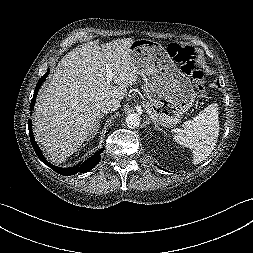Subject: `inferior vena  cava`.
I'll return each mask as SVG.
<instances>
[{"mask_svg": "<svg viewBox=\"0 0 253 253\" xmlns=\"http://www.w3.org/2000/svg\"><path fill=\"white\" fill-rule=\"evenodd\" d=\"M120 108V100L110 99L102 102L100 106L101 113H111Z\"/></svg>", "mask_w": 253, "mask_h": 253, "instance_id": "602c4592", "label": "inferior vena cava"}]
</instances>
